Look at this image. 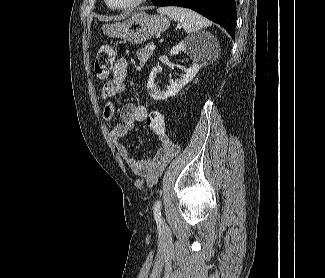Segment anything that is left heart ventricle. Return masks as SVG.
I'll list each match as a JSON object with an SVG mask.
<instances>
[{"mask_svg": "<svg viewBox=\"0 0 325 278\" xmlns=\"http://www.w3.org/2000/svg\"><path fill=\"white\" fill-rule=\"evenodd\" d=\"M134 0H109V2L114 6H122L128 4Z\"/></svg>", "mask_w": 325, "mask_h": 278, "instance_id": "b2bd125f", "label": "left heart ventricle"}]
</instances>
